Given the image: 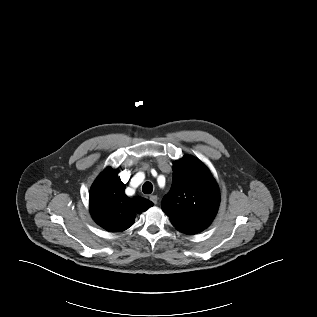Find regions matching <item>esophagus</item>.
<instances>
[{"instance_id":"esophagus-1","label":"esophagus","mask_w":317,"mask_h":317,"mask_svg":"<svg viewBox=\"0 0 317 317\" xmlns=\"http://www.w3.org/2000/svg\"><path fill=\"white\" fill-rule=\"evenodd\" d=\"M149 199L155 204H157V202H158V196L157 195H151L149 197Z\"/></svg>"}]
</instances>
